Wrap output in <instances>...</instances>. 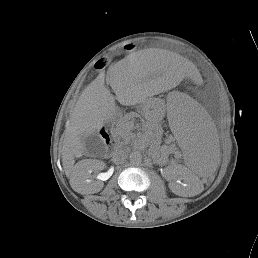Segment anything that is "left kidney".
<instances>
[{
    "label": "left kidney",
    "mask_w": 258,
    "mask_h": 258,
    "mask_svg": "<svg viewBox=\"0 0 258 258\" xmlns=\"http://www.w3.org/2000/svg\"><path fill=\"white\" fill-rule=\"evenodd\" d=\"M187 180H188V178H187ZM174 192H175V194H177L179 196H183V197L193 195L190 188L187 186L185 187V186L176 185Z\"/></svg>",
    "instance_id": "5707ae66"
}]
</instances>
